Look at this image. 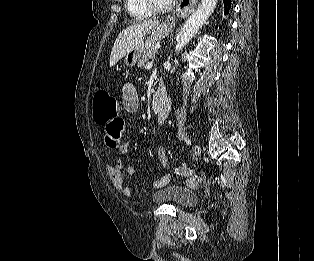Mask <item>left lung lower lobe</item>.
<instances>
[{"instance_id":"left-lung-lower-lobe-1","label":"left lung lower lobe","mask_w":314,"mask_h":261,"mask_svg":"<svg viewBox=\"0 0 314 261\" xmlns=\"http://www.w3.org/2000/svg\"><path fill=\"white\" fill-rule=\"evenodd\" d=\"M223 4H224L225 14H228L231 8V0H223Z\"/></svg>"}]
</instances>
